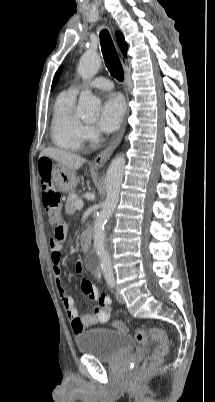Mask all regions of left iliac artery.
Returning a JSON list of instances; mask_svg holds the SVG:
<instances>
[{"label": "left iliac artery", "mask_w": 215, "mask_h": 402, "mask_svg": "<svg viewBox=\"0 0 215 402\" xmlns=\"http://www.w3.org/2000/svg\"><path fill=\"white\" fill-rule=\"evenodd\" d=\"M106 281H107V284H108L111 288H113V287L115 286V279H114V277H108V278L106 279Z\"/></svg>", "instance_id": "44dca946"}]
</instances>
